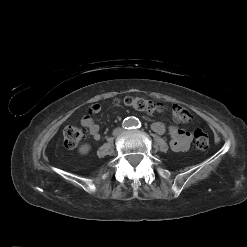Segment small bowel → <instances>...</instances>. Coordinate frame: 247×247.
Segmentation results:
<instances>
[{
	"label": "small bowel",
	"instance_id": "obj_1",
	"mask_svg": "<svg viewBox=\"0 0 247 247\" xmlns=\"http://www.w3.org/2000/svg\"><path fill=\"white\" fill-rule=\"evenodd\" d=\"M101 107L98 104H93L88 109V114L82 117L81 125L93 137L94 140L100 139V128L96 124L91 115L97 114ZM151 129L157 134H163L166 127L162 122L156 121L152 123ZM168 134L170 136V147L175 152H184L188 150L192 141V134L188 131L182 130L175 125L168 127Z\"/></svg>",
	"mask_w": 247,
	"mask_h": 247
}]
</instances>
